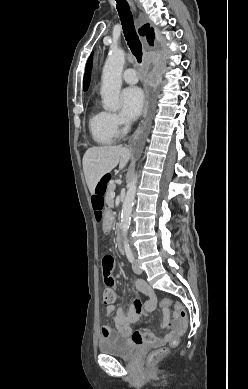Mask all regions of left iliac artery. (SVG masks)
I'll return each mask as SVG.
<instances>
[{
	"label": "left iliac artery",
	"mask_w": 248,
	"mask_h": 389,
	"mask_svg": "<svg viewBox=\"0 0 248 389\" xmlns=\"http://www.w3.org/2000/svg\"><path fill=\"white\" fill-rule=\"evenodd\" d=\"M125 253H126V256H127L128 260H129L130 262H133V261H134V255H133V253H132V251H131V248H130L129 246H127V247L125 248Z\"/></svg>",
	"instance_id": "44dca946"
}]
</instances>
